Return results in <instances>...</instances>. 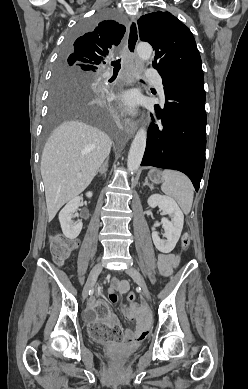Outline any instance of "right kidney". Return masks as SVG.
I'll return each instance as SVG.
<instances>
[{
    "instance_id": "right-kidney-1",
    "label": "right kidney",
    "mask_w": 248,
    "mask_h": 389,
    "mask_svg": "<svg viewBox=\"0 0 248 389\" xmlns=\"http://www.w3.org/2000/svg\"><path fill=\"white\" fill-rule=\"evenodd\" d=\"M92 195V192L86 193L88 198H91ZM79 205L80 197H75L70 200L59 213V221L61 224L62 232L66 238L71 240L78 237L83 226L81 221L74 223L72 220L73 214L77 211Z\"/></svg>"
}]
</instances>
